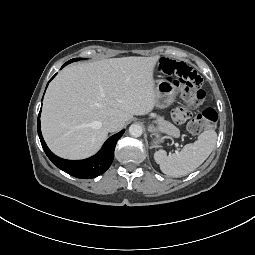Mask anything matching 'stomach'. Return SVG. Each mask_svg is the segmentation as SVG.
Returning a JSON list of instances; mask_svg holds the SVG:
<instances>
[{"label": "stomach", "instance_id": "0dacf381", "mask_svg": "<svg viewBox=\"0 0 255 255\" xmlns=\"http://www.w3.org/2000/svg\"><path fill=\"white\" fill-rule=\"evenodd\" d=\"M154 90H155V104L157 107L165 108L175 101L176 88L174 84L169 83L166 80H156ZM149 131L155 134L156 140L158 141L159 133L161 132L159 128L150 126Z\"/></svg>", "mask_w": 255, "mask_h": 255}]
</instances>
